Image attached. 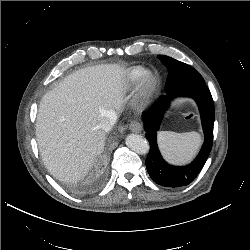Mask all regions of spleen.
Masks as SVG:
<instances>
[{"label":"spleen","mask_w":250,"mask_h":250,"mask_svg":"<svg viewBox=\"0 0 250 250\" xmlns=\"http://www.w3.org/2000/svg\"><path fill=\"white\" fill-rule=\"evenodd\" d=\"M158 140L163 155L173 163L190 160L201 144L200 134L194 131L186 133L162 131Z\"/></svg>","instance_id":"1"}]
</instances>
